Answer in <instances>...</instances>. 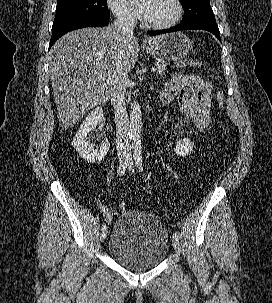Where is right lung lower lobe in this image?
<instances>
[{
  "instance_id": "obj_1",
  "label": "right lung lower lobe",
  "mask_w": 272,
  "mask_h": 303,
  "mask_svg": "<svg viewBox=\"0 0 272 303\" xmlns=\"http://www.w3.org/2000/svg\"><path fill=\"white\" fill-rule=\"evenodd\" d=\"M108 25V20L103 19H78L52 27V36L49 48L65 33L82 27H103Z\"/></svg>"
}]
</instances>
